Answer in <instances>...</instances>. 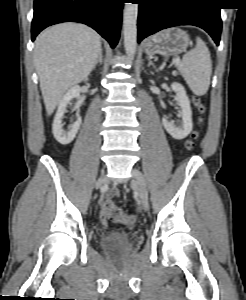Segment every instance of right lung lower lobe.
<instances>
[{
	"mask_svg": "<svg viewBox=\"0 0 246 300\" xmlns=\"http://www.w3.org/2000/svg\"><path fill=\"white\" fill-rule=\"evenodd\" d=\"M124 0H35L32 41L44 28L67 21L84 23L111 45L119 39Z\"/></svg>",
	"mask_w": 246,
	"mask_h": 300,
	"instance_id": "98d812e1",
	"label": "right lung lower lobe"
}]
</instances>
